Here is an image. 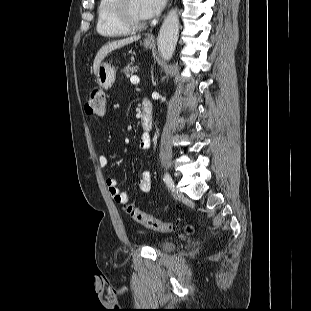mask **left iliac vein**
<instances>
[{"mask_svg":"<svg viewBox=\"0 0 311 311\" xmlns=\"http://www.w3.org/2000/svg\"><path fill=\"white\" fill-rule=\"evenodd\" d=\"M172 194H173L174 198H176V199H180V198L183 197V193L179 189H177V188L173 189V193Z\"/></svg>","mask_w":311,"mask_h":311,"instance_id":"obj_1","label":"left iliac vein"}]
</instances>
